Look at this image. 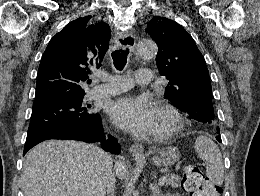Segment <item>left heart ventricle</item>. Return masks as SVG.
<instances>
[{
	"label": "left heart ventricle",
	"mask_w": 260,
	"mask_h": 196,
	"mask_svg": "<svg viewBox=\"0 0 260 196\" xmlns=\"http://www.w3.org/2000/svg\"><path fill=\"white\" fill-rule=\"evenodd\" d=\"M162 122H163V116L159 112V110L155 107V120H154V125L152 127V130L157 128Z\"/></svg>",
	"instance_id": "b2bd125f"
}]
</instances>
